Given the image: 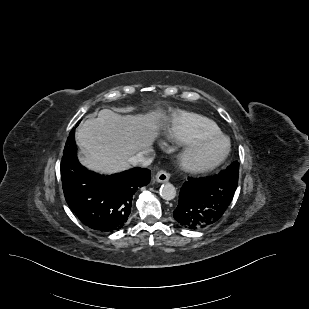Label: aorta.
<instances>
[{"label":"aorta","mask_w":309,"mask_h":309,"mask_svg":"<svg viewBox=\"0 0 309 309\" xmlns=\"http://www.w3.org/2000/svg\"><path fill=\"white\" fill-rule=\"evenodd\" d=\"M160 196L164 200H173L176 196V189L171 183H165L160 188Z\"/></svg>","instance_id":"obj_1"}]
</instances>
